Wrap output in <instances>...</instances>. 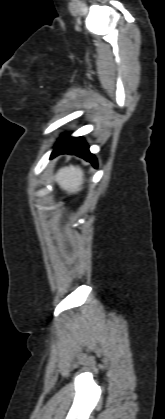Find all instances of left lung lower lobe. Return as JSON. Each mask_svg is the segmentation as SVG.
Instances as JSON below:
<instances>
[{
	"label": "left lung lower lobe",
	"instance_id": "left-lung-lower-lobe-1",
	"mask_svg": "<svg viewBox=\"0 0 165 419\" xmlns=\"http://www.w3.org/2000/svg\"><path fill=\"white\" fill-rule=\"evenodd\" d=\"M60 154L77 155L91 162L95 167L97 166L96 158L89 152V147L84 142L82 137L75 138L69 137L68 134L64 135L56 144L51 157H55Z\"/></svg>",
	"mask_w": 165,
	"mask_h": 419
}]
</instances>
